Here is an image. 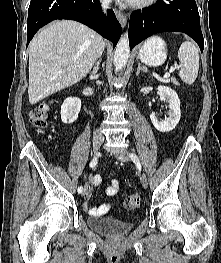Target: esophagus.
Segmentation results:
<instances>
[{"instance_id": "34e87169", "label": "esophagus", "mask_w": 221, "mask_h": 263, "mask_svg": "<svg viewBox=\"0 0 221 263\" xmlns=\"http://www.w3.org/2000/svg\"><path fill=\"white\" fill-rule=\"evenodd\" d=\"M116 17L118 19V21L120 22L121 26L124 28L126 23H127V17L124 13H122L121 11L116 10L115 12Z\"/></svg>"}]
</instances>
